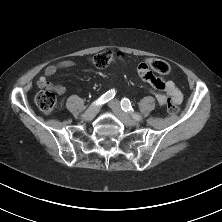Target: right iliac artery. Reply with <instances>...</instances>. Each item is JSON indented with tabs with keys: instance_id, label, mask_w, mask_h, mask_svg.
Returning a JSON list of instances; mask_svg holds the SVG:
<instances>
[{
	"instance_id": "82829eb1",
	"label": "right iliac artery",
	"mask_w": 222,
	"mask_h": 222,
	"mask_svg": "<svg viewBox=\"0 0 222 222\" xmlns=\"http://www.w3.org/2000/svg\"><path fill=\"white\" fill-rule=\"evenodd\" d=\"M115 94L116 93H115L114 89H111V90L107 91L100 98H98V100H96V104L97 105H102V104L107 103L108 101H110L111 99L114 98Z\"/></svg>"
}]
</instances>
